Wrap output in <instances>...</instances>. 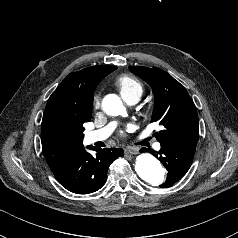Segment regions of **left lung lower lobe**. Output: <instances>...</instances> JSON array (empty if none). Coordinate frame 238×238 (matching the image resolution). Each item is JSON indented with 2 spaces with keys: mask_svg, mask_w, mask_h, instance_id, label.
<instances>
[{
  "mask_svg": "<svg viewBox=\"0 0 238 238\" xmlns=\"http://www.w3.org/2000/svg\"><path fill=\"white\" fill-rule=\"evenodd\" d=\"M161 149L157 154H154L162 164L166 167L168 174L166 181L160 185L162 188L171 187L179 181L189 170L196 146L186 144L160 143Z\"/></svg>",
  "mask_w": 238,
  "mask_h": 238,
  "instance_id": "obj_1",
  "label": "left lung lower lobe"
}]
</instances>
